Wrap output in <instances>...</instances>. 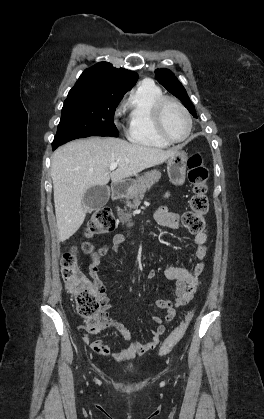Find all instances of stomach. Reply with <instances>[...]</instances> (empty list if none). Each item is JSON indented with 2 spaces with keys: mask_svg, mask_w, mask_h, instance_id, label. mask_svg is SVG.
Returning a JSON list of instances; mask_svg holds the SVG:
<instances>
[{
  "mask_svg": "<svg viewBox=\"0 0 264 419\" xmlns=\"http://www.w3.org/2000/svg\"><path fill=\"white\" fill-rule=\"evenodd\" d=\"M187 154L177 149L175 154L168 159L167 172L170 182L174 185H182L186 177Z\"/></svg>",
  "mask_w": 264,
  "mask_h": 419,
  "instance_id": "obj_1",
  "label": "stomach"
}]
</instances>
